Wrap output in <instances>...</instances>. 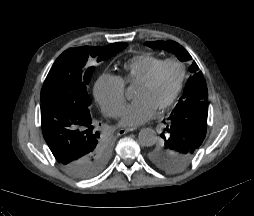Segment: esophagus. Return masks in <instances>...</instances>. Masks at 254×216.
Segmentation results:
<instances>
[{
    "label": "esophagus",
    "mask_w": 254,
    "mask_h": 216,
    "mask_svg": "<svg viewBox=\"0 0 254 216\" xmlns=\"http://www.w3.org/2000/svg\"><path fill=\"white\" fill-rule=\"evenodd\" d=\"M134 130H135V128H131V129H119L118 132H117V134H118L119 136H121V135H124V134H126V133L132 132V131H134Z\"/></svg>",
    "instance_id": "34e87169"
}]
</instances>
